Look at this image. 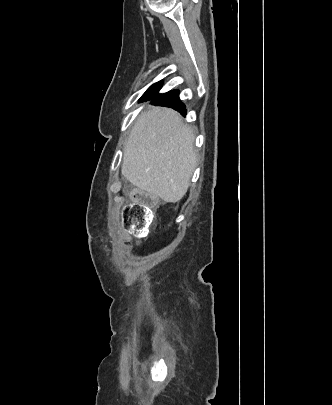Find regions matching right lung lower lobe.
Segmentation results:
<instances>
[{
  "label": "right lung lower lobe",
  "instance_id": "1",
  "mask_svg": "<svg viewBox=\"0 0 332 405\" xmlns=\"http://www.w3.org/2000/svg\"><path fill=\"white\" fill-rule=\"evenodd\" d=\"M152 103L154 105H159V106H165V107H171L178 112H180L183 116L186 115V109L185 105L179 101V91L177 90H172L167 93L161 94L158 96L157 93H150V94H144L141 98V101H147L152 99Z\"/></svg>",
  "mask_w": 332,
  "mask_h": 405
}]
</instances>
